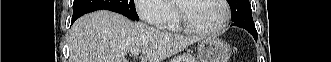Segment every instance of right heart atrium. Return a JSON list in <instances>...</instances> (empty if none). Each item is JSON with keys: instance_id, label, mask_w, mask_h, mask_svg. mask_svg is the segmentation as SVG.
<instances>
[{"instance_id": "obj_1", "label": "right heart atrium", "mask_w": 331, "mask_h": 62, "mask_svg": "<svg viewBox=\"0 0 331 62\" xmlns=\"http://www.w3.org/2000/svg\"><path fill=\"white\" fill-rule=\"evenodd\" d=\"M135 11L143 21L159 29L166 28L174 17L165 0H137Z\"/></svg>"}]
</instances>
